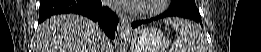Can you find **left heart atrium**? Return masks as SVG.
<instances>
[{"label":"left heart atrium","mask_w":261,"mask_h":52,"mask_svg":"<svg viewBox=\"0 0 261 52\" xmlns=\"http://www.w3.org/2000/svg\"><path fill=\"white\" fill-rule=\"evenodd\" d=\"M144 2L145 0H113L111 4L113 8L134 10Z\"/></svg>","instance_id":"39dd6f15"}]
</instances>
